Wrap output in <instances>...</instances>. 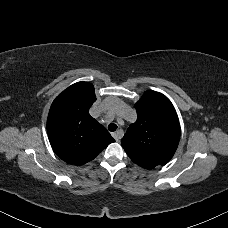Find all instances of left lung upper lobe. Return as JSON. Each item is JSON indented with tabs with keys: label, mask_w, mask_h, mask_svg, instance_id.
<instances>
[{
	"label": "left lung upper lobe",
	"mask_w": 228,
	"mask_h": 228,
	"mask_svg": "<svg viewBox=\"0 0 228 228\" xmlns=\"http://www.w3.org/2000/svg\"><path fill=\"white\" fill-rule=\"evenodd\" d=\"M137 120L121 144L131 160L146 169L166 164L180 140V124L170 100L156 91H146L135 104Z\"/></svg>",
	"instance_id": "obj_1"
}]
</instances>
